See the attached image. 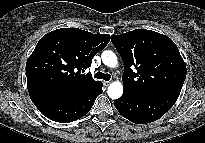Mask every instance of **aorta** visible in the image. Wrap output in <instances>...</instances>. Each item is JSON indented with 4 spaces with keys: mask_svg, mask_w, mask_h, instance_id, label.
Listing matches in <instances>:
<instances>
[{
    "mask_svg": "<svg viewBox=\"0 0 205 143\" xmlns=\"http://www.w3.org/2000/svg\"><path fill=\"white\" fill-rule=\"evenodd\" d=\"M101 58H102V62L110 67V68H114L117 66V56L114 52L109 51V50H105L103 51V53L101 54ZM108 96L111 99H118L122 96L123 94V85L121 82L119 81H115L112 82L107 90Z\"/></svg>",
    "mask_w": 205,
    "mask_h": 143,
    "instance_id": "obj_1",
    "label": "aorta"
}]
</instances>
